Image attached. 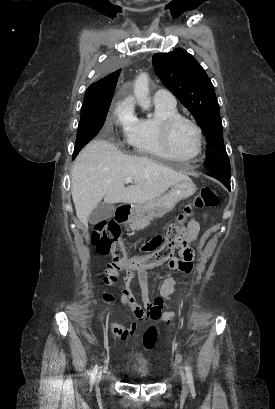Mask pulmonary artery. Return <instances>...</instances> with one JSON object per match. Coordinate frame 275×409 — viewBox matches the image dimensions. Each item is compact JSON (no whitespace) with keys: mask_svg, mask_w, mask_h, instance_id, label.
<instances>
[{"mask_svg":"<svg viewBox=\"0 0 275 409\" xmlns=\"http://www.w3.org/2000/svg\"><path fill=\"white\" fill-rule=\"evenodd\" d=\"M153 101L155 105L175 107L176 99L174 95L170 92H166V87L164 85H159L157 87V92L153 96Z\"/></svg>","mask_w":275,"mask_h":409,"instance_id":"1","label":"pulmonary artery"}]
</instances>
